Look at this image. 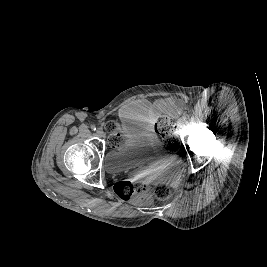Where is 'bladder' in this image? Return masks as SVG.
Returning a JSON list of instances; mask_svg holds the SVG:
<instances>
[{
    "instance_id": "bladder-1",
    "label": "bladder",
    "mask_w": 267,
    "mask_h": 267,
    "mask_svg": "<svg viewBox=\"0 0 267 267\" xmlns=\"http://www.w3.org/2000/svg\"><path fill=\"white\" fill-rule=\"evenodd\" d=\"M158 158V143L151 138H127L105 156V168L110 173L137 170Z\"/></svg>"
}]
</instances>
